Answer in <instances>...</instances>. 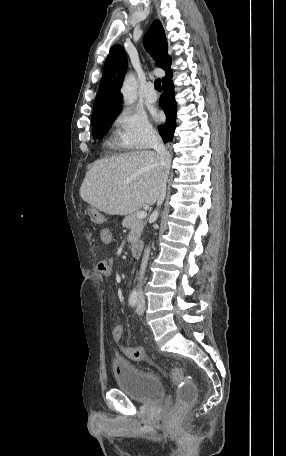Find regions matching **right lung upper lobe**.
Returning <instances> with one entry per match:
<instances>
[{
    "instance_id": "1",
    "label": "right lung upper lobe",
    "mask_w": 286,
    "mask_h": 456,
    "mask_svg": "<svg viewBox=\"0 0 286 456\" xmlns=\"http://www.w3.org/2000/svg\"><path fill=\"white\" fill-rule=\"evenodd\" d=\"M145 49L154 56L156 65L166 72L162 83L172 77L171 57L163 26L155 20L144 36ZM127 70V56L120 45H114L106 58L103 76L94 101L91 120L94 121L105 113L121 108L120 86Z\"/></svg>"
}]
</instances>
